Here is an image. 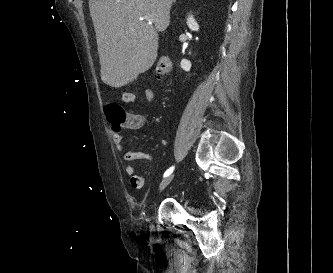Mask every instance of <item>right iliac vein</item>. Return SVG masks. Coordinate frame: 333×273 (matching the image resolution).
<instances>
[{
  "label": "right iliac vein",
  "instance_id": "63e3f726",
  "mask_svg": "<svg viewBox=\"0 0 333 273\" xmlns=\"http://www.w3.org/2000/svg\"><path fill=\"white\" fill-rule=\"evenodd\" d=\"M173 177H174V175H169L166 178H164L161 181V183L159 184L158 191L161 192L164 188H166L171 183V181L173 180ZM149 229H150V231L154 230V225L152 223H150Z\"/></svg>",
  "mask_w": 333,
  "mask_h": 273
}]
</instances>
